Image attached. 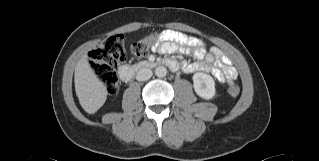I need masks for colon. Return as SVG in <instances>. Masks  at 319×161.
<instances>
[{
	"instance_id": "obj_1",
	"label": "colon",
	"mask_w": 319,
	"mask_h": 161,
	"mask_svg": "<svg viewBox=\"0 0 319 161\" xmlns=\"http://www.w3.org/2000/svg\"><path fill=\"white\" fill-rule=\"evenodd\" d=\"M159 42L160 37L152 33L133 43L132 51L135 56L144 57ZM125 55L124 39L118 34L108 37L89 54L90 64L109 94H115L118 91L119 81L116 74V66L119 62L125 60ZM239 91L240 88L236 83L229 85L228 92L230 96H237Z\"/></svg>"
}]
</instances>
